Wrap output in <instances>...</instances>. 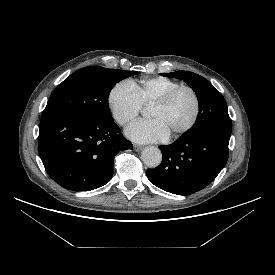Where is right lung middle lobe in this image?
<instances>
[{
	"label": "right lung middle lobe",
	"mask_w": 275,
	"mask_h": 275,
	"mask_svg": "<svg viewBox=\"0 0 275 275\" xmlns=\"http://www.w3.org/2000/svg\"><path fill=\"white\" fill-rule=\"evenodd\" d=\"M136 71L85 67L58 85L44 113L69 111L113 121L108 97L117 82L136 74Z\"/></svg>",
	"instance_id": "right-lung-middle-lobe-1"
}]
</instances>
